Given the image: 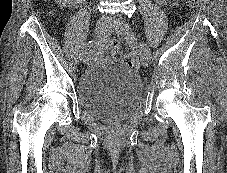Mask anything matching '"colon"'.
I'll return each instance as SVG.
<instances>
[{"mask_svg": "<svg viewBox=\"0 0 227 173\" xmlns=\"http://www.w3.org/2000/svg\"><path fill=\"white\" fill-rule=\"evenodd\" d=\"M208 1L209 0H187V4L190 7L197 8L206 5ZM110 48L114 59L121 60L129 66L136 64V60L132 54L121 51L118 41L113 40L110 44Z\"/></svg>", "mask_w": 227, "mask_h": 173, "instance_id": "obj_1", "label": "colon"}]
</instances>
